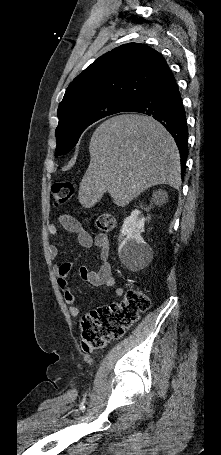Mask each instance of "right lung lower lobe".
Returning <instances> with one entry per match:
<instances>
[{
  "instance_id": "right-lung-lower-lobe-1",
  "label": "right lung lower lobe",
  "mask_w": 221,
  "mask_h": 455,
  "mask_svg": "<svg viewBox=\"0 0 221 455\" xmlns=\"http://www.w3.org/2000/svg\"><path fill=\"white\" fill-rule=\"evenodd\" d=\"M123 112L151 115L170 132L179 149L183 179L188 156V127L180 92L168 65L151 82L142 96L128 105Z\"/></svg>"
}]
</instances>
